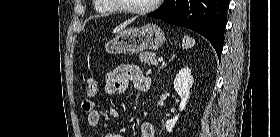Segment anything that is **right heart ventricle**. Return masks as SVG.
Instances as JSON below:
<instances>
[{
    "mask_svg": "<svg viewBox=\"0 0 280 137\" xmlns=\"http://www.w3.org/2000/svg\"><path fill=\"white\" fill-rule=\"evenodd\" d=\"M95 7L94 11L100 16L104 17L115 13V10L108 4V0H94Z\"/></svg>",
    "mask_w": 280,
    "mask_h": 137,
    "instance_id": "right-heart-ventricle-1",
    "label": "right heart ventricle"
}]
</instances>
